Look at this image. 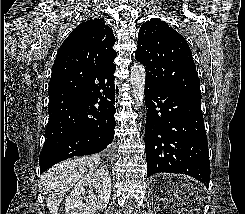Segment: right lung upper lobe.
I'll use <instances>...</instances> for the list:
<instances>
[{"label":"right lung upper lobe","mask_w":245,"mask_h":214,"mask_svg":"<svg viewBox=\"0 0 245 214\" xmlns=\"http://www.w3.org/2000/svg\"><path fill=\"white\" fill-rule=\"evenodd\" d=\"M114 44L113 31L103 18L79 24L57 52L49 95L79 96L91 86L98 70H115Z\"/></svg>","instance_id":"obj_1"}]
</instances>
